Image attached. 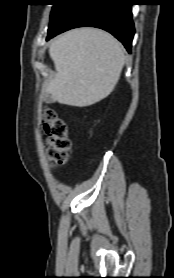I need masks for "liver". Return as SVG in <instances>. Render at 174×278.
<instances>
[{"mask_svg":"<svg viewBox=\"0 0 174 278\" xmlns=\"http://www.w3.org/2000/svg\"><path fill=\"white\" fill-rule=\"evenodd\" d=\"M56 75L43 87L60 104L86 107L106 98L115 88L125 63L122 45L95 28L68 31L49 47Z\"/></svg>","mask_w":174,"mask_h":278,"instance_id":"obj_1","label":"liver"}]
</instances>
